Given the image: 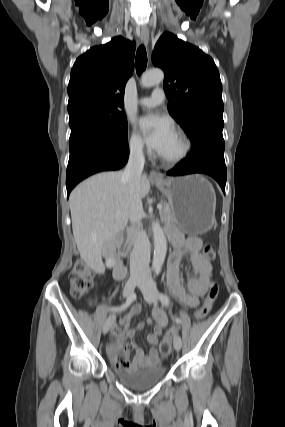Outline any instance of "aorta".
<instances>
[{"instance_id": "obj_1", "label": "aorta", "mask_w": 285, "mask_h": 427, "mask_svg": "<svg viewBox=\"0 0 285 427\" xmlns=\"http://www.w3.org/2000/svg\"><path fill=\"white\" fill-rule=\"evenodd\" d=\"M164 79V73L160 69H152L141 78L143 87H152L160 84ZM152 232L154 238V255L153 267L157 270L161 269L167 252V241L163 229L158 222L152 223Z\"/></svg>"}]
</instances>
